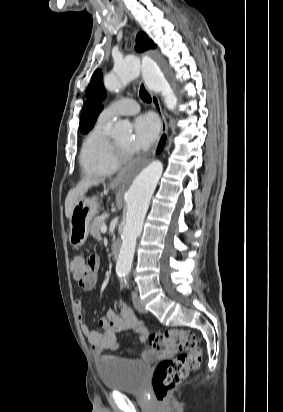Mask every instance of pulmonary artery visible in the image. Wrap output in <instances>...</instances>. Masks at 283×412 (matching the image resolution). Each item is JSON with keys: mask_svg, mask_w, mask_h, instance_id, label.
<instances>
[{"mask_svg": "<svg viewBox=\"0 0 283 412\" xmlns=\"http://www.w3.org/2000/svg\"><path fill=\"white\" fill-rule=\"evenodd\" d=\"M139 104L130 98L120 99L102 110L99 119L105 122L120 116L134 115L139 111Z\"/></svg>", "mask_w": 283, "mask_h": 412, "instance_id": "pulmonary-artery-1", "label": "pulmonary artery"}]
</instances>
